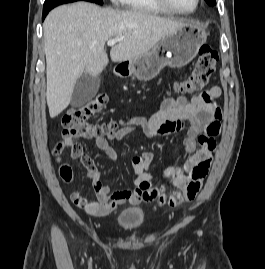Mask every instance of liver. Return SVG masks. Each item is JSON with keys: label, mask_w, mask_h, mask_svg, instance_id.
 I'll return each mask as SVG.
<instances>
[{"label": "liver", "mask_w": 265, "mask_h": 269, "mask_svg": "<svg viewBox=\"0 0 265 269\" xmlns=\"http://www.w3.org/2000/svg\"><path fill=\"white\" fill-rule=\"evenodd\" d=\"M184 24L148 12L101 8L87 2L53 9L43 24L50 117L68 107L83 73L97 77L103 71L108 64L104 49L108 40L123 37L110 51L113 62H122L149 52Z\"/></svg>", "instance_id": "liver-1"}]
</instances>
